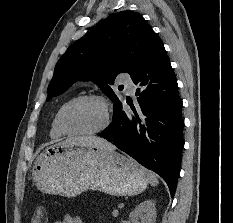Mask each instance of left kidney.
<instances>
[{"instance_id":"1","label":"left kidney","mask_w":233,"mask_h":223,"mask_svg":"<svg viewBox=\"0 0 233 223\" xmlns=\"http://www.w3.org/2000/svg\"><path fill=\"white\" fill-rule=\"evenodd\" d=\"M130 221L132 223H155L157 213L155 207V199H146V201H141L133 211H131Z\"/></svg>"}]
</instances>
